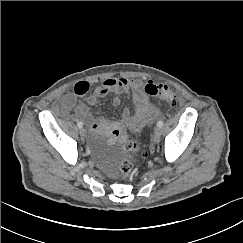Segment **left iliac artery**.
<instances>
[{"mask_svg":"<svg viewBox=\"0 0 243 243\" xmlns=\"http://www.w3.org/2000/svg\"><path fill=\"white\" fill-rule=\"evenodd\" d=\"M157 126H158V127H162V126H163V121H158V122H157Z\"/></svg>","mask_w":243,"mask_h":243,"instance_id":"left-iliac-artery-1","label":"left iliac artery"}]
</instances>
